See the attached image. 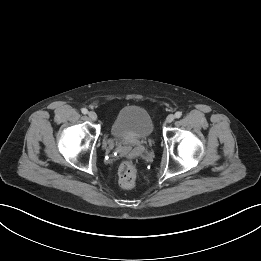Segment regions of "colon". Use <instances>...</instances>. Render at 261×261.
<instances>
[{
    "label": "colon",
    "instance_id": "5ec220e1",
    "mask_svg": "<svg viewBox=\"0 0 261 261\" xmlns=\"http://www.w3.org/2000/svg\"><path fill=\"white\" fill-rule=\"evenodd\" d=\"M137 179V168L131 161H124L118 170L119 184L124 188H131L134 186Z\"/></svg>",
    "mask_w": 261,
    "mask_h": 261
}]
</instances>
